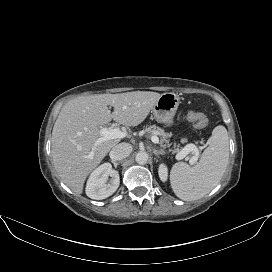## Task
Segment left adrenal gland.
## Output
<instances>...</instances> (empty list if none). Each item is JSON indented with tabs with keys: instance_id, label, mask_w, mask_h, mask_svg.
<instances>
[{
	"instance_id": "1",
	"label": "left adrenal gland",
	"mask_w": 272,
	"mask_h": 272,
	"mask_svg": "<svg viewBox=\"0 0 272 272\" xmlns=\"http://www.w3.org/2000/svg\"><path fill=\"white\" fill-rule=\"evenodd\" d=\"M153 153L156 155V156H158V155H164L165 154V152H164V150H156V149H153Z\"/></svg>"
}]
</instances>
